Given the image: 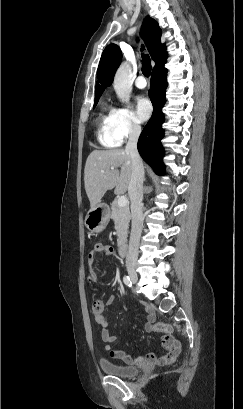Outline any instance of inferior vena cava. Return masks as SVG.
<instances>
[{"instance_id":"1","label":"inferior vena cava","mask_w":243,"mask_h":409,"mask_svg":"<svg viewBox=\"0 0 243 409\" xmlns=\"http://www.w3.org/2000/svg\"><path fill=\"white\" fill-rule=\"evenodd\" d=\"M141 133V127L132 125L129 131V139L126 151L130 154L132 162V173L128 185V194L131 201L132 228L130 234L126 264H135L138 259L139 241L143 228V181L144 167L142 159L137 150V142Z\"/></svg>"}]
</instances>
